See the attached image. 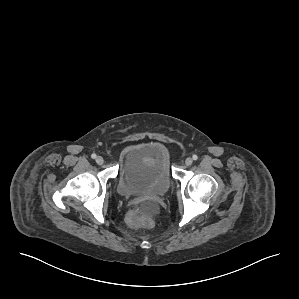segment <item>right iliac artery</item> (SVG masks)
<instances>
[{
	"instance_id": "right-iliac-artery-1",
	"label": "right iliac artery",
	"mask_w": 299,
	"mask_h": 299,
	"mask_svg": "<svg viewBox=\"0 0 299 299\" xmlns=\"http://www.w3.org/2000/svg\"><path fill=\"white\" fill-rule=\"evenodd\" d=\"M97 156H96V154L95 153H93L92 155H91V158H93V159H95Z\"/></svg>"
}]
</instances>
